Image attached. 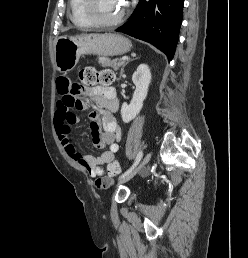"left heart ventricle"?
<instances>
[{
    "mask_svg": "<svg viewBox=\"0 0 248 258\" xmlns=\"http://www.w3.org/2000/svg\"><path fill=\"white\" fill-rule=\"evenodd\" d=\"M123 8L120 0H95L93 12L101 20H113L122 13Z\"/></svg>",
    "mask_w": 248,
    "mask_h": 258,
    "instance_id": "obj_1",
    "label": "left heart ventricle"
}]
</instances>
